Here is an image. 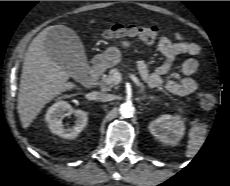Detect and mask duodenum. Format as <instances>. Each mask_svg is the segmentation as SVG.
<instances>
[{"instance_id":"410a0bca","label":"duodenum","mask_w":230,"mask_h":186,"mask_svg":"<svg viewBox=\"0 0 230 186\" xmlns=\"http://www.w3.org/2000/svg\"><path fill=\"white\" fill-rule=\"evenodd\" d=\"M102 71H103V66L98 62H94L89 65L88 74L93 86H96L98 84Z\"/></svg>"}]
</instances>
